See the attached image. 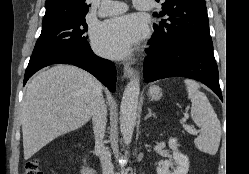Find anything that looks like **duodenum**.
<instances>
[{
    "label": "duodenum",
    "mask_w": 249,
    "mask_h": 174,
    "mask_svg": "<svg viewBox=\"0 0 249 174\" xmlns=\"http://www.w3.org/2000/svg\"><path fill=\"white\" fill-rule=\"evenodd\" d=\"M81 174H97V169L89 162L88 155L85 153L81 159Z\"/></svg>",
    "instance_id": "obj_1"
}]
</instances>
